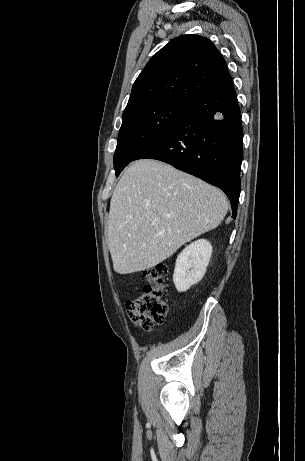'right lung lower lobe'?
Returning a JSON list of instances; mask_svg holds the SVG:
<instances>
[{
  "mask_svg": "<svg viewBox=\"0 0 305 461\" xmlns=\"http://www.w3.org/2000/svg\"><path fill=\"white\" fill-rule=\"evenodd\" d=\"M243 128L233 81L191 103L161 139L137 159L171 164L222 189L236 218L241 190Z\"/></svg>",
  "mask_w": 305,
  "mask_h": 461,
  "instance_id": "98d812e1",
  "label": "right lung lower lobe"
}]
</instances>
